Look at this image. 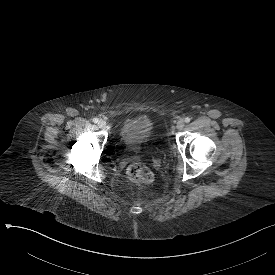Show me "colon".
Masks as SVG:
<instances>
[{
    "instance_id": "colon-1",
    "label": "colon",
    "mask_w": 275,
    "mask_h": 275,
    "mask_svg": "<svg viewBox=\"0 0 275 275\" xmlns=\"http://www.w3.org/2000/svg\"><path fill=\"white\" fill-rule=\"evenodd\" d=\"M127 177L142 185H149L153 181V173L147 167L139 164H131L127 169Z\"/></svg>"
}]
</instances>
